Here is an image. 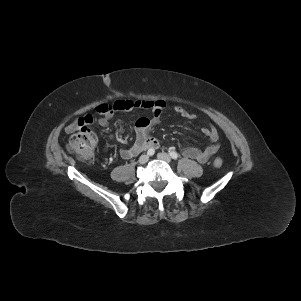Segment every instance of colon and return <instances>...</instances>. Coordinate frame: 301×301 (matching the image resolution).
Here are the masks:
<instances>
[{"mask_svg":"<svg viewBox=\"0 0 301 301\" xmlns=\"http://www.w3.org/2000/svg\"><path fill=\"white\" fill-rule=\"evenodd\" d=\"M96 136L88 128H82L78 132L71 135L68 142V150L81 161H89L93 157ZM213 165L220 168L223 165L221 158H215Z\"/></svg>","mask_w":301,"mask_h":301,"instance_id":"5ec220e1","label":"colon"}]
</instances>
